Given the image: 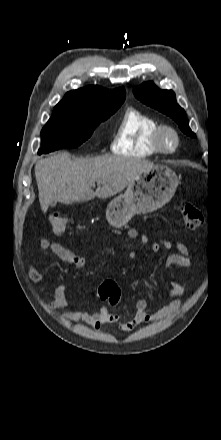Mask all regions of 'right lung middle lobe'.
<instances>
[{
  "label": "right lung middle lobe",
  "mask_w": 221,
  "mask_h": 440,
  "mask_svg": "<svg viewBox=\"0 0 221 440\" xmlns=\"http://www.w3.org/2000/svg\"><path fill=\"white\" fill-rule=\"evenodd\" d=\"M119 107H55L51 118L41 131L42 146L38 154L79 146L92 135L97 125L109 118Z\"/></svg>",
  "instance_id": "right-lung-middle-lobe-1"
}]
</instances>
